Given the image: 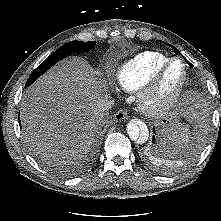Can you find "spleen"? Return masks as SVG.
Masks as SVG:
<instances>
[{"mask_svg":"<svg viewBox=\"0 0 221 221\" xmlns=\"http://www.w3.org/2000/svg\"><path fill=\"white\" fill-rule=\"evenodd\" d=\"M166 137L176 148H182L189 143L190 136L187 126L178 123L174 128L166 131Z\"/></svg>","mask_w":221,"mask_h":221,"instance_id":"spleen-1","label":"spleen"}]
</instances>
